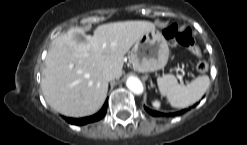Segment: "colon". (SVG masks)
<instances>
[{
    "mask_svg": "<svg viewBox=\"0 0 247 145\" xmlns=\"http://www.w3.org/2000/svg\"><path fill=\"white\" fill-rule=\"evenodd\" d=\"M163 35L167 41L173 44H178L189 49L195 56H201V50L198 47L191 29L186 28L179 30L177 24H172L163 31ZM209 69V65L205 61H200L197 64V70L200 73H205Z\"/></svg>",
    "mask_w": 247,
    "mask_h": 145,
    "instance_id": "obj_1",
    "label": "colon"
}]
</instances>
